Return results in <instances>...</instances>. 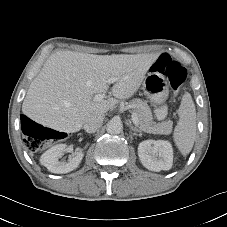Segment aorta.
<instances>
[{
    "label": "aorta",
    "instance_id": "762f6f07",
    "mask_svg": "<svg viewBox=\"0 0 227 227\" xmlns=\"http://www.w3.org/2000/svg\"><path fill=\"white\" fill-rule=\"evenodd\" d=\"M106 130L111 135H117L120 134L123 130V124L120 119H111L107 123Z\"/></svg>",
    "mask_w": 227,
    "mask_h": 227
}]
</instances>
